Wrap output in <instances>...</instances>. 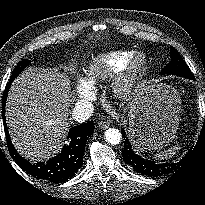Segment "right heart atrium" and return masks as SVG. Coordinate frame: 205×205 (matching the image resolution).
Listing matches in <instances>:
<instances>
[{
  "label": "right heart atrium",
  "mask_w": 205,
  "mask_h": 205,
  "mask_svg": "<svg viewBox=\"0 0 205 205\" xmlns=\"http://www.w3.org/2000/svg\"><path fill=\"white\" fill-rule=\"evenodd\" d=\"M77 90L84 97L90 96L91 94L90 89H88L87 87H84L83 85H80V86L78 85Z\"/></svg>",
  "instance_id": "1"
}]
</instances>
